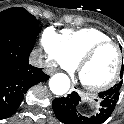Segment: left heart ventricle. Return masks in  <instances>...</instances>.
Returning a JSON list of instances; mask_svg holds the SVG:
<instances>
[{
  "label": "left heart ventricle",
  "instance_id": "obj_1",
  "mask_svg": "<svg viewBox=\"0 0 124 124\" xmlns=\"http://www.w3.org/2000/svg\"><path fill=\"white\" fill-rule=\"evenodd\" d=\"M117 63V50L112 46L105 47L84 66L80 79L90 85L104 84L114 75Z\"/></svg>",
  "mask_w": 124,
  "mask_h": 124
}]
</instances>
